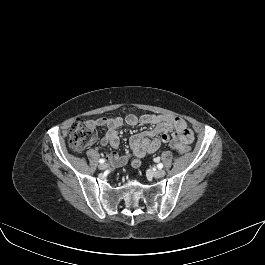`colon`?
<instances>
[{
  "label": "colon",
  "instance_id": "colon-1",
  "mask_svg": "<svg viewBox=\"0 0 265 265\" xmlns=\"http://www.w3.org/2000/svg\"><path fill=\"white\" fill-rule=\"evenodd\" d=\"M97 140V131L95 126L82 119H76L69 130V145L74 151L83 149L94 144ZM170 146L181 154L189 152L188 144L179 140H173Z\"/></svg>",
  "mask_w": 265,
  "mask_h": 265
}]
</instances>
